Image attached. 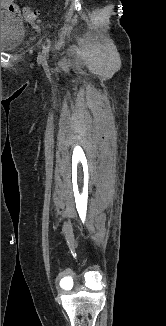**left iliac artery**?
Returning <instances> with one entry per match:
<instances>
[{"label": "left iliac artery", "mask_w": 166, "mask_h": 326, "mask_svg": "<svg viewBox=\"0 0 166 326\" xmlns=\"http://www.w3.org/2000/svg\"><path fill=\"white\" fill-rule=\"evenodd\" d=\"M46 50H47L46 46L43 45V53H46Z\"/></svg>", "instance_id": "44dca946"}]
</instances>
